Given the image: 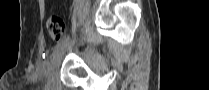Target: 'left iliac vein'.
<instances>
[{"instance_id": "4c4485c4", "label": "left iliac vein", "mask_w": 209, "mask_h": 90, "mask_svg": "<svg viewBox=\"0 0 209 90\" xmlns=\"http://www.w3.org/2000/svg\"><path fill=\"white\" fill-rule=\"evenodd\" d=\"M68 44V43H67ZM67 45H64L53 57L50 62L49 70L54 71L62 61Z\"/></svg>"}]
</instances>
